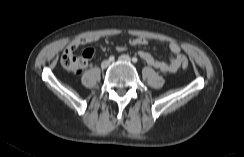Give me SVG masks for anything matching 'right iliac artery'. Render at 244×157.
Segmentation results:
<instances>
[{
	"instance_id": "1",
	"label": "right iliac artery",
	"mask_w": 244,
	"mask_h": 157,
	"mask_svg": "<svg viewBox=\"0 0 244 157\" xmlns=\"http://www.w3.org/2000/svg\"><path fill=\"white\" fill-rule=\"evenodd\" d=\"M115 57L114 56H110L109 57V61H114Z\"/></svg>"
}]
</instances>
